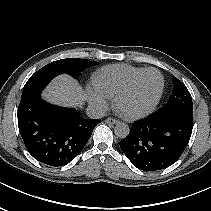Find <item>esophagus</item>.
Here are the masks:
<instances>
[{
	"mask_svg": "<svg viewBox=\"0 0 211 211\" xmlns=\"http://www.w3.org/2000/svg\"><path fill=\"white\" fill-rule=\"evenodd\" d=\"M105 121L107 124H111V125L119 123V121L117 119H114L111 117L107 118Z\"/></svg>",
	"mask_w": 211,
	"mask_h": 211,
	"instance_id": "1",
	"label": "esophagus"
}]
</instances>
